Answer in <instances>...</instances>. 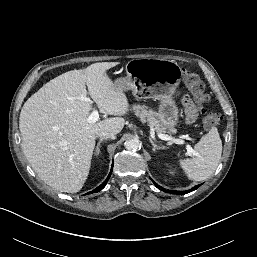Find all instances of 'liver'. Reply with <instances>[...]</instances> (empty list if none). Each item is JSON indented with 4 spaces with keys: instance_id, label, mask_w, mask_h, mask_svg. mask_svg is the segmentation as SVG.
I'll list each match as a JSON object with an SVG mask.
<instances>
[{
    "instance_id": "6515ba94",
    "label": "liver",
    "mask_w": 257,
    "mask_h": 257,
    "mask_svg": "<svg viewBox=\"0 0 257 257\" xmlns=\"http://www.w3.org/2000/svg\"><path fill=\"white\" fill-rule=\"evenodd\" d=\"M118 62L94 63L63 73L43 85L23 105L19 117L22 151L35 173L60 192L77 193L90 170L95 139L102 131L118 134L129 102L106 71ZM103 114L118 117L89 122L87 90Z\"/></svg>"
}]
</instances>
